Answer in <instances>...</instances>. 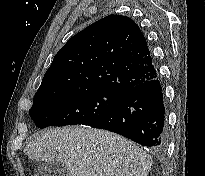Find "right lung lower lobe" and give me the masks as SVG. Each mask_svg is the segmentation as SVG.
<instances>
[{
	"mask_svg": "<svg viewBox=\"0 0 205 176\" xmlns=\"http://www.w3.org/2000/svg\"><path fill=\"white\" fill-rule=\"evenodd\" d=\"M89 126L115 132L155 152H163L167 146V125L158 77L129 89Z\"/></svg>",
	"mask_w": 205,
	"mask_h": 176,
	"instance_id": "98d812e1",
	"label": "right lung lower lobe"
}]
</instances>
